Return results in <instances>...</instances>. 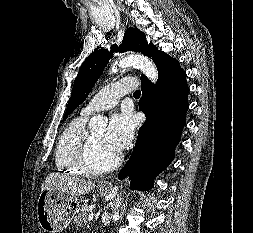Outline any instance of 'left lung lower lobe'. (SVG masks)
<instances>
[{"label":"left lung lower lobe","instance_id":"obj_1","mask_svg":"<svg viewBox=\"0 0 253 233\" xmlns=\"http://www.w3.org/2000/svg\"><path fill=\"white\" fill-rule=\"evenodd\" d=\"M158 81L154 85L141 76L139 109L147 116L140 127L134 151L119 174L130 175L131 189L150 190L154 176L173 160L186 123L189 87L179 62L164 52L154 59Z\"/></svg>","mask_w":253,"mask_h":233}]
</instances>
